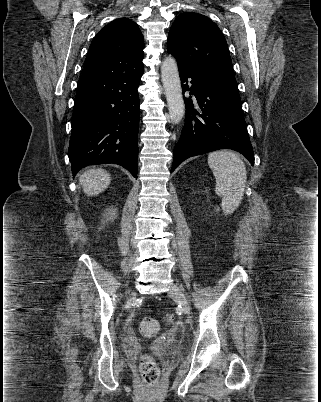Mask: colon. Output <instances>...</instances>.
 I'll return each instance as SVG.
<instances>
[{
	"instance_id": "obj_1",
	"label": "colon",
	"mask_w": 321,
	"mask_h": 402,
	"mask_svg": "<svg viewBox=\"0 0 321 402\" xmlns=\"http://www.w3.org/2000/svg\"><path fill=\"white\" fill-rule=\"evenodd\" d=\"M173 322V316L166 318V323ZM159 324L155 319L145 318L139 324L140 332L144 335H153L158 331ZM139 370L148 385H156L160 377V370L156 361L149 355H143L139 362Z\"/></svg>"
}]
</instances>
